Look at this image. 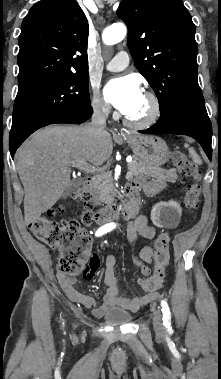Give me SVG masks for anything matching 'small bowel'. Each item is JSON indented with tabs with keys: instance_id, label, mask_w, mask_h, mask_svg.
Instances as JSON below:
<instances>
[{
	"instance_id": "c3829d8e",
	"label": "small bowel",
	"mask_w": 221,
	"mask_h": 379,
	"mask_svg": "<svg viewBox=\"0 0 221 379\" xmlns=\"http://www.w3.org/2000/svg\"><path fill=\"white\" fill-rule=\"evenodd\" d=\"M137 190L143 186L148 195H154L165 188L162 181H154L150 184L142 185L141 182H132ZM156 231L153 226L148 223L145 215H135L129 223L126 231V237L129 243H133L137 238L153 239ZM154 250L151 246H144L139 253V257H133L132 263L140 269L143 276L151 274L150 264L153 261ZM88 264L82 268V277L85 282H96L95 274L101 271L100 253H89L87 259ZM116 260L113 255H108L105 259V271L103 281L105 284V294L102 303L97 305L95 297L91 294L83 293L75 288L76 280L65 273L58 272L57 278L59 284L68 301L81 305L85 308H91L96 317L102 316L111 306L119 305L131 310H137L142 304L156 297L155 293H151L142 297H125L120 295L118 288V280L115 273Z\"/></svg>"
}]
</instances>
